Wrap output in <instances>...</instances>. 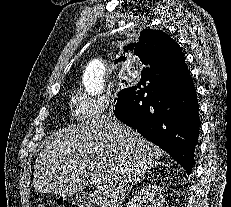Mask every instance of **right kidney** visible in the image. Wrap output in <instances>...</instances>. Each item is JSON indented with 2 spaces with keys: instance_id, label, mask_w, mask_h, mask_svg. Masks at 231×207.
<instances>
[{
  "instance_id": "ca27d5eb",
  "label": "right kidney",
  "mask_w": 231,
  "mask_h": 207,
  "mask_svg": "<svg viewBox=\"0 0 231 207\" xmlns=\"http://www.w3.org/2000/svg\"><path fill=\"white\" fill-rule=\"evenodd\" d=\"M164 192L155 185H145L126 204V207H163Z\"/></svg>"
}]
</instances>
